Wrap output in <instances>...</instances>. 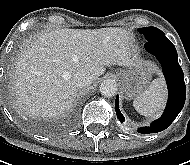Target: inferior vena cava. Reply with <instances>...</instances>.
I'll list each match as a JSON object with an SVG mask.
<instances>
[{
  "mask_svg": "<svg viewBox=\"0 0 190 165\" xmlns=\"http://www.w3.org/2000/svg\"><path fill=\"white\" fill-rule=\"evenodd\" d=\"M73 81L77 88H83L93 83V77L89 73L78 72L73 76Z\"/></svg>",
  "mask_w": 190,
  "mask_h": 165,
  "instance_id": "602c4592",
  "label": "inferior vena cava"
}]
</instances>
